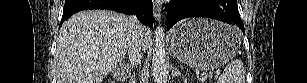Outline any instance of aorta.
<instances>
[{"label":"aorta","mask_w":307,"mask_h":83,"mask_svg":"<svg viewBox=\"0 0 307 83\" xmlns=\"http://www.w3.org/2000/svg\"><path fill=\"white\" fill-rule=\"evenodd\" d=\"M152 72L156 83H162L167 72L165 52V33L163 27L155 31L154 47L152 52Z\"/></svg>","instance_id":"aorta-1"}]
</instances>
